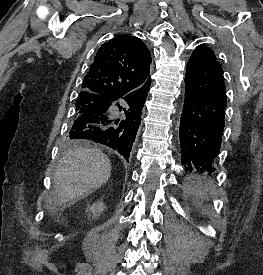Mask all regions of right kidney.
Returning a JSON list of instances; mask_svg holds the SVG:
<instances>
[{
    "mask_svg": "<svg viewBox=\"0 0 263 275\" xmlns=\"http://www.w3.org/2000/svg\"><path fill=\"white\" fill-rule=\"evenodd\" d=\"M105 205L103 202L95 203L90 207V212L93 214V217H99L100 213H102L105 209Z\"/></svg>",
    "mask_w": 263,
    "mask_h": 275,
    "instance_id": "right-kidney-1",
    "label": "right kidney"
}]
</instances>
